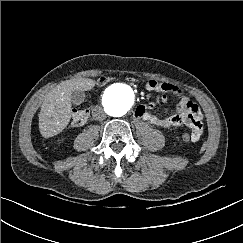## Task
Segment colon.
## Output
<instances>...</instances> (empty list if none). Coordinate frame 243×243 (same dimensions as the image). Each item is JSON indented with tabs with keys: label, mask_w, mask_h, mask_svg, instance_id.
I'll return each mask as SVG.
<instances>
[{
	"label": "colon",
	"mask_w": 243,
	"mask_h": 243,
	"mask_svg": "<svg viewBox=\"0 0 243 243\" xmlns=\"http://www.w3.org/2000/svg\"><path fill=\"white\" fill-rule=\"evenodd\" d=\"M109 80H110V78L103 76V77L99 78L98 84L99 85H104L107 82H109ZM89 114H90V111H89L88 108L75 109L73 111V114H72V119H71L72 124L73 125H82V124H84L87 121V119L89 117ZM182 138H183L184 141H187V142L192 141L191 133H184L182 135Z\"/></svg>",
	"instance_id": "5ec220e1"
}]
</instances>
